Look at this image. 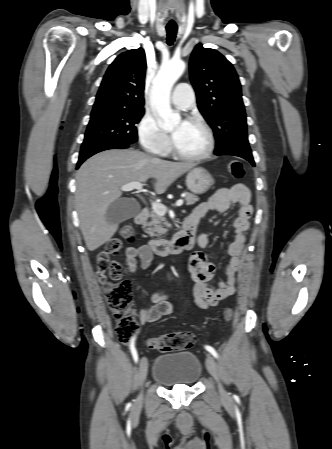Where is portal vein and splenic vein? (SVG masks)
<instances>
[{"label": "portal vein and splenic vein", "instance_id": "18ae733b", "mask_svg": "<svg viewBox=\"0 0 332 449\" xmlns=\"http://www.w3.org/2000/svg\"><path fill=\"white\" fill-rule=\"evenodd\" d=\"M122 191H132V190H138L139 192L144 191L143 190V184L141 182H131L126 185L121 186ZM183 204V199L177 200L175 203V206H181ZM152 209L155 213L159 215H164L167 211V208L158 202H152Z\"/></svg>", "mask_w": 332, "mask_h": 449}]
</instances>
